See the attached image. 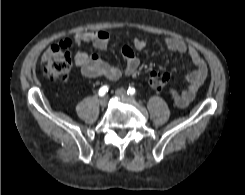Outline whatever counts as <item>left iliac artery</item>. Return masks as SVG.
<instances>
[{
    "label": "left iliac artery",
    "mask_w": 245,
    "mask_h": 195,
    "mask_svg": "<svg viewBox=\"0 0 245 195\" xmlns=\"http://www.w3.org/2000/svg\"><path fill=\"white\" fill-rule=\"evenodd\" d=\"M128 95H134L136 93V90L133 87H129L127 90Z\"/></svg>",
    "instance_id": "1"
}]
</instances>
